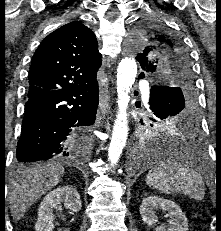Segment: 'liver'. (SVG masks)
Returning <instances> with one entry per match:
<instances>
[{"label": "liver", "instance_id": "6515ba94", "mask_svg": "<svg viewBox=\"0 0 221 231\" xmlns=\"http://www.w3.org/2000/svg\"><path fill=\"white\" fill-rule=\"evenodd\" d=\"M63 174L64 168L58 163H38L18 169L8 185V201L14 220L19 221L31 205L60 182Z\"/></svg>", "mask_w": 221, "mask_h": 231}]
</instances>
